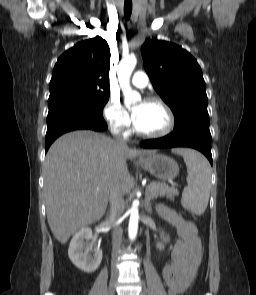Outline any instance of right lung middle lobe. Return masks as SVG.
<instances>
[{
  "label": "right lung middle lobe",
  "mask_w": 256,
  "mask_h": 295,
  "mask_svg": "<svg viewBox=\"0 0 256 295\" xmlns=\"http://www.w3.org/2000/svg\"><path fill=\"white\" fill-rule=\"evenodd\" d=\"M109 95L98 96H64L49 101L47 119L58 115L102 116V110Z\"/></svg>",
  "instance_id": "right-lung-middle-lobe-1"
}]
</instances>
